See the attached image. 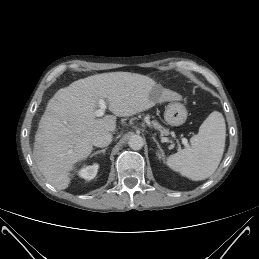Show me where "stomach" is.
<instances>
[{
    "mask_svg": "<svg viewBox=\"0 0 259 259\" xmlns=\"http://www.w3.org/2000/svg\"><path fill=\"white\" fill-rule=\"evenodd\" d=\"M165 121L171 126H180L187 119V110L179 102H171L164 112Z\"/></svg>",
    "mask_w": 259,
    "mask_h": 259,
    "instance_id": "0dacf381",
    "label": "stomach"
}]
</instances>
